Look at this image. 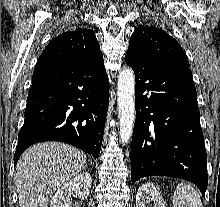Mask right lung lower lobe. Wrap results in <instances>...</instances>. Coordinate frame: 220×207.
Here are the masks:
<instances>
[{"label": "right lung lower lobe", "instance_id": "1", "mask_svg": "<svg viewBox=\"0 0 220 207\" xmlns=\"http://www.w3.org/2000/svg\"><path fill=\"white\" fill-rule=\"evenodd\" d=\"M102 53L71 66L36 67L14 162L32 144L60 141L98 158L109 103Z\"/></svg>", "mask_w": 220, "mask_h": 207}]
</instances>
